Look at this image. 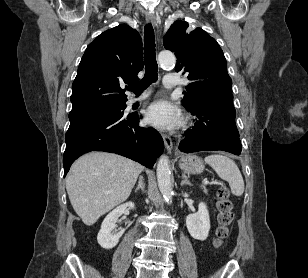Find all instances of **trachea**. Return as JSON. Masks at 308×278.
Returning a JSON list of instances; mask_svg holds the SVG:
<instances>
[{
  "mask_svg": "<svg viewBox=\"0 0 308 278\" xmlns=\"http://www.w3.org/2000/svg\"><path fill=\"white\" fill-rule=\"evenodd\" d=\"M144 62L145 75L143 79L128 87V90L137 95L142 93L150 84L156 82L158 79V65L155 54V36L153 27L150 23L146 24L144 27Z\"/></svg>",
  "mask_w": 308,
  "mask_h": 278,
  "instance_id": "3493384b",
  "label": "trachea"
}]
</instances>
